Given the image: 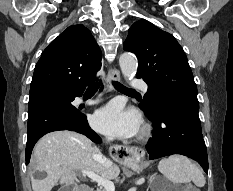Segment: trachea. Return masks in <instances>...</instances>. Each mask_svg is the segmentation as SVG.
<instances>
[{
    "mask_svg": "<svg viewBox=\"0 0 233 191\" xmlns=\"http://www.w3.org/2000/svg\"><path fill=\"white\" fill-rule=\"evenodd\" d=\"M113 85L118 91H124V92H134L135 91L133 89H129V88L123 86L122 84H120L118 82H113ZM98 88H99V84L93 83L88 87V89L86 90V93L94 94L97 92Z\"/></svg>",
    "mask_w": 233,
    "mask_h": 191,
    "instance_id": "trachea-1",
    "label": "trachea"
}]
</instances>
